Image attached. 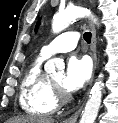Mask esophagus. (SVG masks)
Returning a JSON list of instances; mask_svg holds the SVG:
<instances>
[{
    "label": "esophagus",
    "mask_w": 118,
    "mask_h": 123,
    "mask_svg": "<svg viewBox=\"0 0 118 123\" xmlns=\"http://www.w3.org/2000/svg\"><path fill=\"white\" fill-rule=\"evenodd\" d=\"M91 32H92V41H91V51H92V58L94 63V72L97 66V49H96V30L92 23H90ZM82 107H80L73 115L67 118L64 123H75L80 115Z\"/></svg>",
    "instance_id": "1"
}]
</instances>
